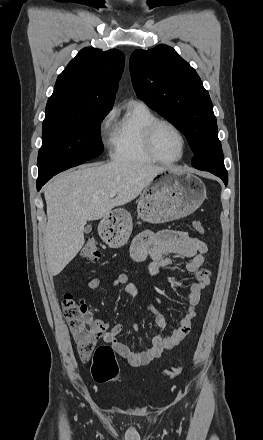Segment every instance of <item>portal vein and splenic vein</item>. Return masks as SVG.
Listing matches in <instances>:
<instances>
[{
    "instance_id": "18ae733b",
    "label": "portal vein and splenic vein",
    "mask_w": 263,
    "mask_h": 440,
    "mask_svg": "<svg viewBox=\"0 0 263 440\" xmlns=\"http://www.w3.org/2000/svg\"><path fill=\"white\" fill-rule=\"evenodd\" d=\"M116 195H117V190L112 191V192L110 193V197H111V198L115 197Z\"/></svg>"
}]
</instances>
